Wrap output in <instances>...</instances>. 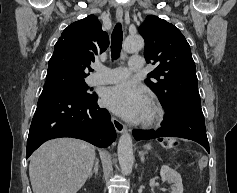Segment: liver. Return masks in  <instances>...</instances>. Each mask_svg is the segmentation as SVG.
<instances>
[{
    "mask_svg": "<svg viewBox=\"0 0 237 193\" xmlns=\"http://www.w3.org/2000/svg\"><path fill=\"white\" fill-rule=\"evenodd\" d=\"M95 161V147L73 138L41 145L31 156L29 176L33 193H77Z\"/></svg>",
    "mask_w": 237,
    "mask_h": 193,
    "instance_id": "1",
    "label": "liver"
}]
</instances>
